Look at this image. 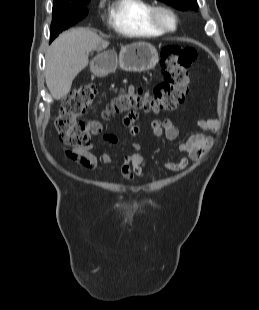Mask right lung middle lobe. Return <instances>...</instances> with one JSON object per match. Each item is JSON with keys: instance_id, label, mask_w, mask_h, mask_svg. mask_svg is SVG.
I'll return each mask as SVG.
<instances>
[{"instance_id": "obj_1", "label": "right lung middle lobe", "mask_w": 259, "mask_h": 310, "mask_svg": "<svg viewBox=\"0 0 259 310\" xmlns=\"http://www.w3.org/2000/svg\"><path fill=\"white\" fill-rule=\"evenodd\" d=\"M88 2L89 0L84 1L79 5L66 6L55 9L53 8L50 34L51 41L55 39L61 31L68 29L70 26L76 24L87 15Z\"/></svg>"}]
</instances>
